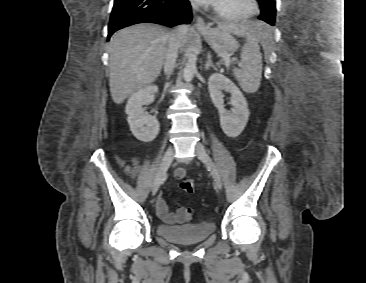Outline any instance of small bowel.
<instances>
[{"label":"small bowel","mask_w":366,"mask_h":283,"mask_svg":"<svg viewBox=\"0 0 366 283\" xmlns=\"http://www.w3.org/2000/svg\"><path fill=\"white\" fill-rule=\"evenodd\" d=\"M119 164L123 165L122 159H119ZM124 171L129 177H136L140 172V165L138 158H133L128 165L124 166ZM186 174V170L182 167L174 172L177 179L182 178ZM157 213L159 217L168 223H181L189 219V213L183 207H178L175 213L170 212L169 208L162 197H159L156 202Z\"/></svg>","instance_id":"small-bowel-1"}]
</instances>
